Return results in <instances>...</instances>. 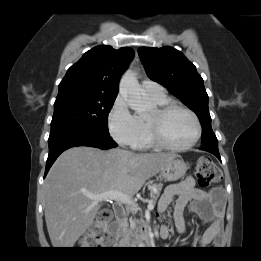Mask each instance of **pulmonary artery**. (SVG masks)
Here are the masks:
<instances>
[{
    "label": "pulmonary artery",
    "instance_id": "pulmonary-artery-1",
    "mask_svg": "<svg viewBox=\"0 0 261 261\" xmlns=\"http://www.w3.org/2000/svg\"><path fill=\"white\" fill-rule=\"evenodd\" d=\"M141 86L143 90L146 92V94L151 96H160L165 93L163 86L152 80H143L141 82Z\"/></svg>",
    "mask_w": 261,
    "mask_h": 261
}]
</instances>
